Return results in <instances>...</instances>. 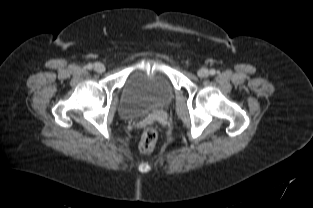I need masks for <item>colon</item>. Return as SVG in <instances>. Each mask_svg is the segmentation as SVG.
Segmentation results:
<instances>
[{
  "mask_svg": "<svg viewBox=\"0 0 313 208\" xmlns=\"http://www.w3.org/2000/svg\"><path fill=\"white\" fill-rule=\"evenodd\" d=\"M158 139V131L154 127L146 128L140 139V151L145 154H149L153 151Z\"/></svg>",
  "mask_w": 313,
  "mask_h": 208,
  "instance_id": "obj_1",
  "label": "colon"
}]
</instances>
